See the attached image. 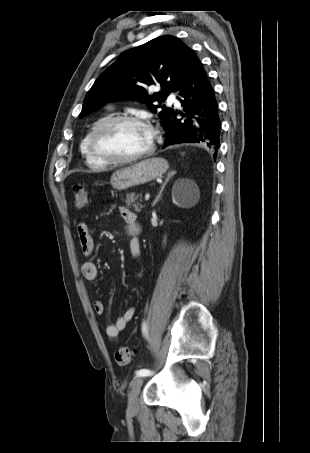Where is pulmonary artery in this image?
<instances>
[{
  "label": "pulmonary artery",
  "instance_id": "1",
  "mask_svg": "<svg viewBox=\"0 0 310 453\" xmlns=\"http://www.w3.org/2000/svg\"><path fill=\"white\" fill-rule=\"evenodd\" d=\"M168 100L171 101V102H174L175 104H179L178 100L175 98V96L173 94H170L168 96Z\"/></svg>",
  "mask_w": 310,
  "mask_h": 453
}]
</instances>
